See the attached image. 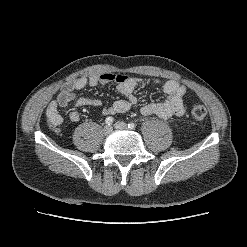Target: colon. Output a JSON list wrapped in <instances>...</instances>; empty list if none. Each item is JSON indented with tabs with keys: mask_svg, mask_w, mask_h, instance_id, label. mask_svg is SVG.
<instances>
[{
	"mask_svg": "<svg viewBox=\"0 0 247 247\" xmlns=\"http://www.w3.org/2000/svg\"><path fill=\"white\" fill-rule=\"evenodd\" d=\"M206 115H207V110L201 104H195L190 108V116L195 121H203Z\"/></svg>",
	"mask_w": 247,
	"mask_h": 247,
	"instance_id": "obj_1",
	"label": "colon"
}]
</instances>
